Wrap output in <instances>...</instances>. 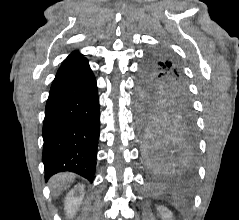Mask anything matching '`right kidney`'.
<instances>
[{
	"instance_id": "right-kidney-1",
	"label": "right kidney",
	"mask_w": 239,
	"mask_h": 220,
	"mask_svg": "<svg viewBox=\"0 0 239 220\" xmlns=\"http://www.w3.org/2000/svg\"><path fill=\"white\" fill-rule=\"evenodd\" d=\"M84 185L78 184L72 189L65 200V211L68 217H73L76 214L78 205L83 199Z\"/></svg>"
}]
</instances>
